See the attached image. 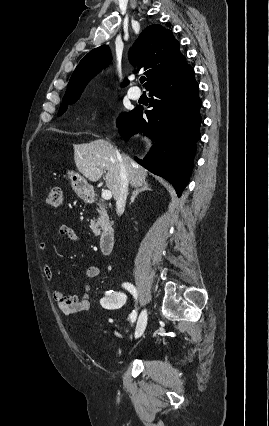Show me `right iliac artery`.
<instances>
[{
	"instance_id": "82829eb1",
	"label": "right iliac artery",
	"mask_w": 269,
	"mask_h": 426,
	"mask_svg": "<svg viewBox=\"0 0 269 426\" xmlns=\"http://www.w3.org/2000/svg\"><path fill=\"white\" fill-rule=\"evenodd\" d=\"M124 287L133 295V297L137 300L138 297V293L136 288L130 284V283H124ZM137 317V312L136 310H133V312L130 315L131 318V322H134L136 320Z\"/></svg>"
}]
</instances>
